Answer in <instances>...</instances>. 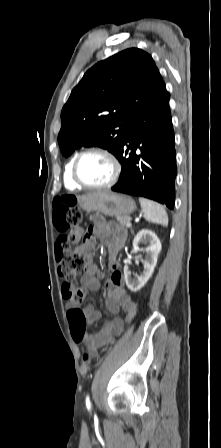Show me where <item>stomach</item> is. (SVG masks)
<instances>
[{
	"mask_svg": "<svg viewBox=\"0 0 221 448\" xmlns=\"http://www.w3.org/2000/svg\"><path fill=\"white\" fill-rule=\"evenodd\" d=\"M79 204L87 212H98L106 216H129L136 210L131 197L110 191L84 195L80 197Z\"/></svg>",
	"mask_w": 221,
	"mask_h": 448,
	"instance_id": "obj_1",
	"label": "stomach"
}]
</instances>
